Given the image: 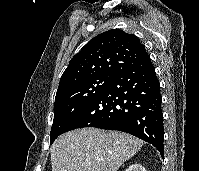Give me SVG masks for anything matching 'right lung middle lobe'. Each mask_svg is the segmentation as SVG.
<instances>
[{
  "label": "right lung middle lobe",
  "mask_w": 199,
  "mask_h": 171,
  "mask_svg": "<svg viewBox=\"0 0 199 171\" xmlns=\"http://www.w3.org/2000/svg\"><path fill=\"white\" fill-rule=\"evenodd\" d=\"M114 77L109 75L93 77L55 98L50 144L63 133L77 112L103 90Z\"/></svg>",
  "instance_id": "1"
}]
</instances>
